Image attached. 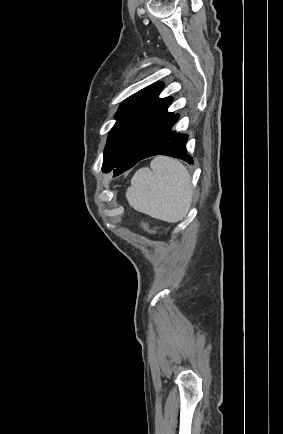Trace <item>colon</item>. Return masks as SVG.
<instances>
[{
    "label": "colon",
    "mask_w": 283,
    "mask_h": 434,
    "mask_svg": "<svg viewBox=\"0 0 283 434\" xmlns=\"http://www.w3.org/2000/svg\"><path fill=\"white\" fill-rule=\"evenodd\" d=\"M147 228H148V226H146ZM149 229V231L151 232V233H153L154 231H155V229L154 228H148Z\"/></svg>",
    "instance_id": "colon-1"
}]
</instances>
